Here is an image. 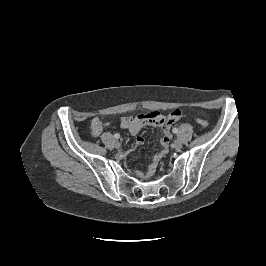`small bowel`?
<instances>
[{"mask_svg": "<svg viewBox=\"0 0 266 266\" xmlns=\"http://www.w3.org/2000/svg\"><path fill=\"white\" fill-rule=\"evenodd\" d=\"M184 116L183 112L179 109H174L168 114L164 115L158 111H152L147 113H140L133 116L123 117L120 121V126L123 129L128 130L132 135H137L144 126L159 127L163 132L161 139V151L156 154L148 168V175L152 174L156 168L158 161L166 154L169 142L171 139L170 129L174 123ZM105 123L100 118H93L91 121V133L93 136H99ZM143 139L141 137L136 138V144L141 145Z\"/></svg>", "mask_w": 266, "mask_h": 266, "instance_id": "small-bowel-1", "label": "small bowel"}]
</instances>
